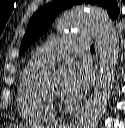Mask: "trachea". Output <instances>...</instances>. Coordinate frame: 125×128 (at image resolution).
I'll list each match as a JSON object with an SVG mask.
<instances>
[{"instance_id": "obj_1", "label": "trachea", "mask_w": 125, "mask_h": 128, "mask_svg": "<svg viewBox=\"0 0 125 128\" xmlns=\"http://www.w3.org/2000/svg\"><path fill=\"white\" fill-rule=\"evenodd\" d=\"M90 50H91V51H94V50H95V49H94V45H91Z\"/></svg>"}]
</instances>
